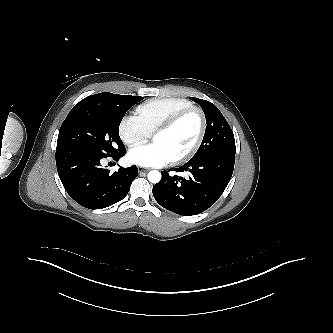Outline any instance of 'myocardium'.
I'll return each mask as SVG.
<instances>
[{
  "mask_svg": "<svg viewBox=\"0 0 333 333\" xmlns=\"http://www.w3.org/2000/svg\"><path fill=\"white\" fill-rule=\"evenodd\" d=\"M192 113H196L199 116L200 119V128L198 135L194 141V143L182 154L176 156L171 160V163L178 164L181 162H184L185 160L192 157L196 151L199 149L207 128V119L204 111L197 106H192L189 108H186L184 110H181L180 112L176 113L175 115L171 116L169 119H167L165 122H163L161 125H159L153 132V137L162 132H167L174 128L179 122H181L184 118L189 116Z\"/></svg>",
  "mask_w": 333,
  "mask_h": 333,
  "instance_id": "1",
  "label": "myocardium"
}]
</instances>
